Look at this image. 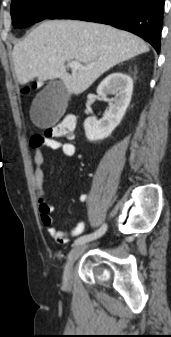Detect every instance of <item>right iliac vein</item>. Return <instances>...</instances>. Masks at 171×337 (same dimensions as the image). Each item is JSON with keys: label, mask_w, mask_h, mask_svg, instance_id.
I'll use <instances>...</instances> for the list:
<instances>
[{"label": "right iliac vein", "mask_w": 171, "mask_h": 337, "mask_svg": "<svg viewBox=\"0 0 171 337\" xmlns=\"http://www.w3.org/2000/svg\"><path fill=\"white\" fill-rule=\"evenodd\" d=\"M86 249L85 244H79L76 245L69 253L67 262L64 267V273H63V283L64 286L67 289L71 288L72 284V269H73V264L75 261L82 255L84 250Z\"/></svg>", "instance_id": "63e3f726"}]
</instances>
